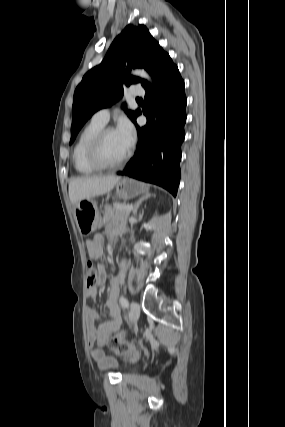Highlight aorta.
I'll return each mask as SVG.
<instances>
[{
    "label": "aorta",
    "mask_w": 285,
    "mask_h": 427,
    "mask_svg": "<svg viewBox=\"0 0 285 427\" xmlns=\"http://www.w3.org/2000/svg\"><path fill=\"white\" fill-rule=\"evenodd\" d=\"M132 74L139 76V77H142L144 79H147L148 81L151 82V78H150L149 74L146 71H144L143 69L134 70V71H132Z\"/></svg>",
    "instance_id": "obj_1"
}]
</instances>
